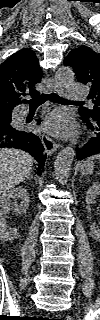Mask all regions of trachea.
I'll return each mask as SVG.
<instances>
[{"mask_svg": "<svg viewBox=\"0 0 100 320\" xmlns=\"http://www.w3.org/2000/svg\"><path fill=\"white\" fill-rule=\"evenodd\" d=\"M48 99L53 102H56V103L71 102V101L64 99V98L58 96L57 94H53V93L52 94H43L42 96L37 97V98H33V99L29 100L28 102H29L30 107H36V106L43 104Z\"/></svg>", "mask_w": 100, "mask_h": 320, "instance_id": "obj_1", "label": "trachea"}]
</instances>
